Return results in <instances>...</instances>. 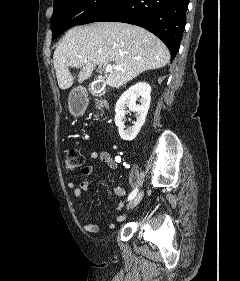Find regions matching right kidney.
Returning <instances> with one entry per match:
<instances>
[{
    "instance_id": "1",
    "label": "right kidney",
    "mask_w": 240,
    "mask_h": 281,
    "mask_svg": "<svg viewBox=\"0 0 240 281\" xmlns=\"http://www.w3.org/2000/svg\"><path fill=\"white\" fill-rule=\"evenodd\" d=\"M151 86L148 83L139 82L127 89L115 105V124L118 127L119 135L123 140L132 141L143 126L151 101ZM140 98V105L136 104ZM136 113V122L129 128H125L124 119L128 111Z\"/></svg>"
}]
</instances>
